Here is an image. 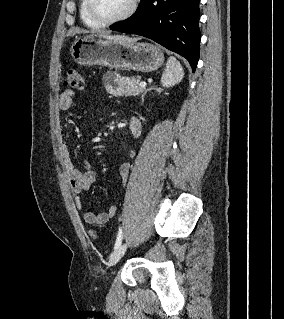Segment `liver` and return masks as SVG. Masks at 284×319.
<instances>
[{
	"instance_id": "6515ba94",
	"label": "liver",
	"mask_w": 284,
	"mask_h": 319,
	"mask_svg": "<svg viewBox=\"0 0 284 319\" xmlns=\"http://www.w3.org/2000/svg\"><path fill=\"white\" fill-rule=\"evenodd\" d=\"M99 37L109 40H118L123 42H134L137 41L138 38H130L124 35H110L109 33L100 34Z\"/></svg>"
}]
</instances>
